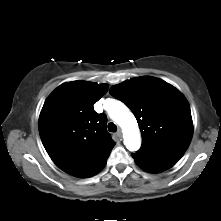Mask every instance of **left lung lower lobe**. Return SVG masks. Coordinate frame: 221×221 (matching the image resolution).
Here are the masks:
<instances>
[{"mask_svg": "<svg viewBox=\"0 0 221 221\" xmlns=\"http://www.w3.org/2000/svg\"><path fill=\"white\" fill-rule=\"evenodd\" d=\"M136 164L143 170L150 173H159L171 168L182 156L170 155L163 157L146 156L139 153L132 154Z\"/></svg>", "mask_w": 221, "mask_h": 221, "instance_id": "0a47b994", "label": "left lung lower lobe"}]
</instances>
